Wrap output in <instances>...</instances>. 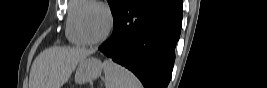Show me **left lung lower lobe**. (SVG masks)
<instances>
[{
  "instance_id": "0a47b994",
  "label": "left lung lower lobe",
  "mask_w": 267,
  "mask_h": 88,
  "mask_svg": "<svg viewBox=\"0 0 267 88\" xmlns=\"http://www.w3.org/2000/svg\"><path fill=\"white\" fill-rule=\"evenodd\" d=\"M181 21V0H129L99 50L131 70L145 88H167Z\"/></svg>"
}]
</instances>
